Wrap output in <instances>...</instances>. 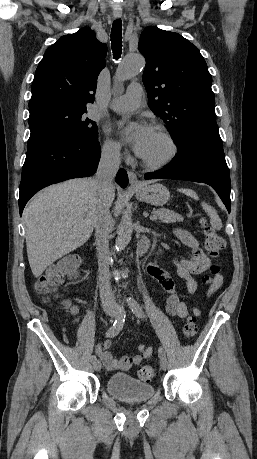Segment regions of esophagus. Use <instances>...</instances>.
<instances>
[{"label": "esophagus", "instance_id": "obj_1", "mask_svg": "<svg viewBox=\"0 0 257 459\" xmlns=\"http://www.w3.org/2000/svg\"><path fill=\"white\" fill-rule=\"evenodd\" d=\"M113 15L116 19H119L122 17V11L121 10H114ZM128 178H129V183L131 186H138L140 183L137 179V175L133 171H128Z\"/></svg>", "mask_w": 257, "mask_h": 459}]
</instances>
